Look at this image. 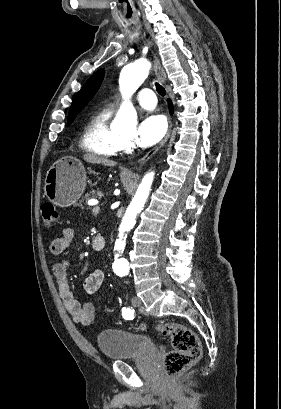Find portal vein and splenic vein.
<instances>
[{
    "label": "portal vein and splenic vein",
    "mask_w": 281,
    "mask_h": 409,
    "mask_svg": "<svg viewBox=\"0 0 281 409\" xmlns=\"http://www.w3.org/2000/svg\"><path fill=\"white\" fill-rule=\"evenodd\" d=\"M100 211H101V208L99 206H94L93 207V213H92L93 216L96 217V218L99 217L100 214H101Z\"/></svg>",
    "instance_id": "obj_1"
}]
</instances>
